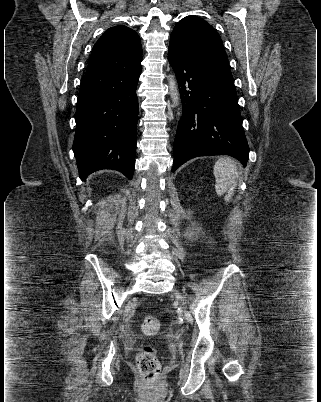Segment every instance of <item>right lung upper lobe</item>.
Masks as SVG:
<instances>
[{
	"mask_svg": "<svg viewBox=\"0 0 321 402\" xmlns=\"http://www.w3.org/2000/svg\"><path fill=\"white\" fill-rule=\"evenodd\" d=\"M142 46L138 34L118 25L107 29L95 43L86 74L132 71L141 68Z\"/></svg>",
	"mask_w": 321,
	"mask_h": 402,
	"instance_id": "cb5924a9",
	"label": "right lung upper lobe"
}]
</instances>
